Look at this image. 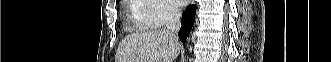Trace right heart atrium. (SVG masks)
Returning a JSON list of instances; mask_svg holds the SVG:
<instances>
[{"instance_id": "d8ad5b80", "label": "right heart atrium", "mask_w": 331, "mask_h": 62, "mask_svg": "<svg viewBox=\"0 0 331 62\" xmlns=\"http://www.w3.org/2000/svg\"><path fill=\"white\" fill-rule=\"evenodd\" d=\"M141 2L149 9L147 22L150 28H160L175 20L179 15V9L169 0H142Z\"/></svg>"}]
</instances>
